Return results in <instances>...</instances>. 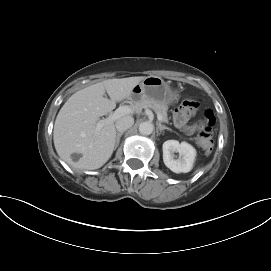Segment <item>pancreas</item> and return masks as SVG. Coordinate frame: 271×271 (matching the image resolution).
I'll return each instance as SVG.
<instances>
[{
	"instance_id": "cf45deb5",
	"label": "pancreas",
	"mask_w": 271,
	"mask_h": 271,
	"mask_svg": "<svg viewBox=\"0 0 271 271\" xmlns=\"http://www.w3.org/2000/svg\"><path fill=\"white\" fill-rule=\"evenodd\" d=\"M134 107L136 110H141L143 108H151L153 109L157 114H160L162 116L163 122H168L167 118V106L161 103H158L154 100L149 99H141L134 103Z\"/></svg>"
}]
</instances>
